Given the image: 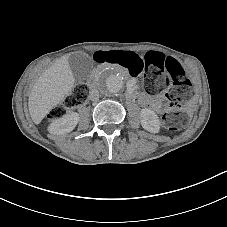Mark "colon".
Instances as JSON below:
<instances>
[{"label": "colon", "mask_w": 227, "mask_h": 227, "mask_svg": "<svg viewBox=\"0 0 227 227\" xmlns=\"http://www.w3.org/2000/svg\"><path fill=\"white\" fill-rule=\"evenodd\" d=\"M96 63H109L123 67L133 76L144 72V86L151 94H162L167 86V73L173 85L165 94L167 104L171 107L192 94L191 82L185 76L182 66L171 57H162L155 52L139 56L130 51H99L94 54ZM89 88L86 84H79L64 101L51 110L49 118L55 120L73 108L85 104L88 100ZM186 121V115L179 110H172L164 114L163 126L170 131L181 129Z\"/></svg>", "instance_id": "1"}]
</instances>
